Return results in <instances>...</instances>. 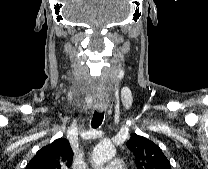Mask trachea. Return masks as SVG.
I'll return each instance as SVG.
<instances>
[{
  "label": "trachea",
  "mask_w": 208,
  "mask_h": 169,
  "mask_svg": "<svg viewBox=\"0 0 208 169\" xmlns=\"http://www.w3.org/2000/svg\"><path fill=\"white\" fill-rule=\"evenodd\" d=\"M103 119H104V112L95 111L92 118L91 126L93 128H98L102 124Z\"/></svg>",
  "instance_id": "3493384b"
}]
</instances>
